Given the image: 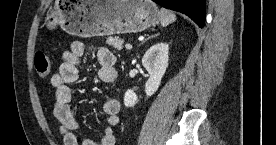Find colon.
I'll use <instances>...</instances> for the list:
<instances>
[{
    "mask_svg": "<svg viewBox=\"0 0 276 145\" xmlns=\"http://www.w3.org/2000/svg\"><path fill=\"white\" fill-rule=\"evenodd\" d=\"M34 63L37 75L42 79H46L51 71V60L49 55L44 52H38L35 55Z\"/></svg>",
    "mask_w": 276,
    "mask_h": 145,
    "instance_id": "5ec220e1",
    "label": "colon"
}]
</instances>
